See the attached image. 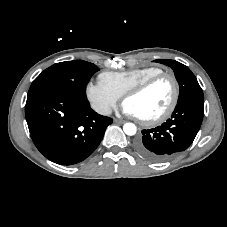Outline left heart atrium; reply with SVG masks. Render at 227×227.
<instances>
[{
	"label": "left heart atrium",
	"mask_w": 227,
	"mask_h": 227,
	"mask_svg": "<svg viewBox=\"0 0 227 227\" xmlns=\"http://www.w3.org/2000/svg\"><path fill=\"white\" fill-rule=\"evenodd\" d=\"M122 111L124 114L128 115V116H132V117H138V115L136 114V112L133 110V108H131L129 105L127 104H123L122 106Z\"/></svg>",
	"instance_id": "obj_1"
}]
</instances>
